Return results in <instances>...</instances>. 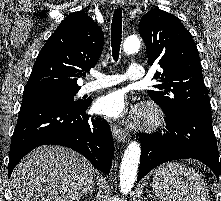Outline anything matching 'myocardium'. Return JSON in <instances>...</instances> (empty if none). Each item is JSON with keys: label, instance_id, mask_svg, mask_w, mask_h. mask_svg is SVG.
Segmentation results:
<instances>
[{"label": "myocardium", "instance_id": "1", "mask_svg": "<svg viewBox=\"0 0 221 201\" xmlns=\"http://www.w3.org/2000/svg\"><path fill=\"white\" fill-rule=\"evenodd\" d=\"M165 115L162 108L153 101H146L141 104L132 127L141 131H154L164 125Z\"/></svg>", "mask_w": 221, "mask_h": 201}]
</instances>
